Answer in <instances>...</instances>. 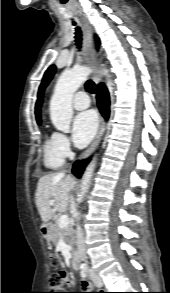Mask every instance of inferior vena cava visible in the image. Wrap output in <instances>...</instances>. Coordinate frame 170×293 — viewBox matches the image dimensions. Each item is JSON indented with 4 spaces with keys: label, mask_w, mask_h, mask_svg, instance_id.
Wrapping results in <instances>:
<instances>
[{
    "label": "inferior vena cava",
    "mask_w": 170,
    "mask_h": 293,
    "mask_svg": "<svg viewBox=\"0 0 170 293\" xmlns=\"http://www.w3.org/2000/svg\"><path fill=\"white\" fill-rule=\"evenodd\" d=\"M71 207L74 209L75 205L72 201ZM76 238H77V254L83 259H86V249H85V243H84V236L83 231L81 227L78 225L76 230Z\"/></svg>",
    "instance_id": "602c4592"
}]
</instances>
